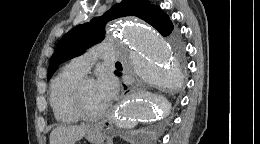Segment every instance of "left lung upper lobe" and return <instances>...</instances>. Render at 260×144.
I'll return each instance as SVG.
<instances>
[{"label": "left lung upper lobe", "instance_id": "left-lung-upper-lobe-1", "mask_svg": "<svg viewBox=\"0 0 260 144\" xmlns=\"http://www.w3.org/2000/svg\"><path fill=\"white\" fill-rule=\"evenodd\" d=\"M124 16H136L146 21L163 36L170 35L174 29L169 16L149 0H122L103 15L77 25L61 38L51 57L47 78H51L59 64L79 56L90 46L102 41L108 21Z\"/></svg>", "mask_w": 260, "mask_h": 144}]
</instances>
